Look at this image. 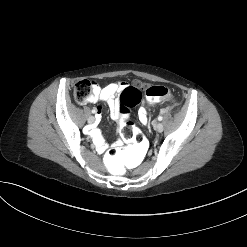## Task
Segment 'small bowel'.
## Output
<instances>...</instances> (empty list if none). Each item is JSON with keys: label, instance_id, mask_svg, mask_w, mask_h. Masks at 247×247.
Segmentation results:
<instances>
[{"label": "small bowel", "instance_id": "c3829d8e", "mask_svg": "<svg viewBox=\"0 0 247 247\" xmlns=\"http://www.w3.org/2000/svg\"><path fill=\"white\" fill-rule=\"evenodd\" d=\"M127 88V83L125 82H114L109 83L104 87H100L98 84L93 83L92 94L87 100V102L95 103L97 101L105 102L111 112V117L117 119L120 116L119 111V99L117 98L121 92ZM97 112V111H96ZM100 118V114H98ZM138 118L142 124H146L148 121L147 110L144 107H141L138 111ZM90 135L93 137L97 150L102 153L107 149V145L103 140L102 135L95 128L90 130ZM121 143L118 141L116 145L119 146Z\"/></svg>", "mask_w": 247, "mask_h": 247}]
</instances>
